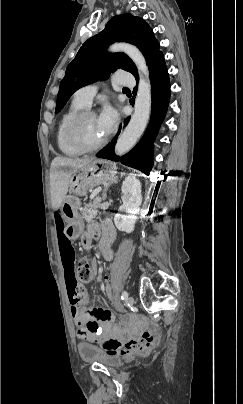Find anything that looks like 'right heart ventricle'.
<instances>
[{"instance_id": "obj_1", "label": "right heart ventricle", "mask_w": 243, "mask_h": 404, "mask_svg": "<svg viewBox=\"0 0 243 404\" xmlns=\"http://www.w3.org/2000/svg\"><path fill=\"white\" fill-rule=\"evenodd\" d=\"M78 95V90L75 93ZM86 106L76 97L71 101L68 107L60 115L57 125L54 130V140L58 151L65 156L79 157L85 152L76 146L69 143L64 137V128L67 122L79 111L83 110Z\"/></svg>"}]
</instances>
